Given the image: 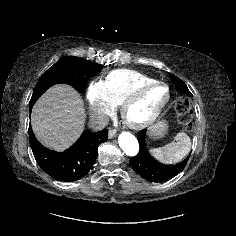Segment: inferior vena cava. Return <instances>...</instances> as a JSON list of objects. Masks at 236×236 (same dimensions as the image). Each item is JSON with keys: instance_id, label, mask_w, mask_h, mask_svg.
I'll return each mask as SVG.
<instances>
[{"instance_id": "inferior-vena-cava-1", "label": "inferior vena cava", "mask_w": 236, "mask_h": 236, "mask_svg": "<svg viewBox=\"0 0 236 236\" xmlns=\"http://www.w3.org/2000/svg\"><path fill=\"white\" fill-rule=\"evenodd\" d=\"M109 123V118L106 114L101 113L93 116L90 119V126L95 131H100L104 129Z\"/></svg>"}]
</instances>
